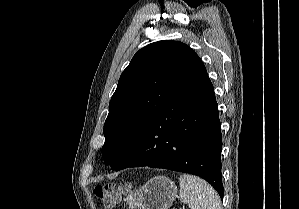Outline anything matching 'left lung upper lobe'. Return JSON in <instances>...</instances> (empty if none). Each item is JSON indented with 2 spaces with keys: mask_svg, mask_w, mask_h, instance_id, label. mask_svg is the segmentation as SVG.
<instances>
[{
  "mask_svg": "<svg viewBox=\"0 0 299 209\" xmlns=\"http://www.w3.org/2000/svg\"><path fill=\"white\" fill-rule=\"evenodd\" d=\"M205 69L186 44L164 40L140 49L120 76L104 124L102 157L115 169L160 108Z\"/></svg>",
  "mask_w": 299,
  "mask_h": 209,
  "instance_id": "1",
  "label": "left lung upper lobe"
}]
</instances>
